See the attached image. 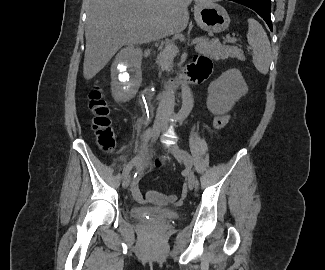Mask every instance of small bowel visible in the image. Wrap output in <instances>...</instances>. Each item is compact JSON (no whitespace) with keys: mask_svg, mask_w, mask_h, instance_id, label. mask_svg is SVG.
I'll list each match as a JSON object with an SVG mask.
<instances>
[{"mask_svg":"<svg viewBox=\"0 0 325 270\" xmlns=\"http://www.w3.org/2000/svg\"><path fill=\"white\" fill-rule=\"evenodd\" d=\"M212 71V61L209 57L204 55L196 56L192 59L187 67V74L194 81H203L206 79ZM230 120L229 114L219 115L213 122L215 129H221L225 127ZM132 194L136 201H142V194L136 185L132 187Z\"/></svg>","mask_w":325,"mask_h":270,"instance_id":"c3829d8e","label":"small bowel"}]
</instances>
